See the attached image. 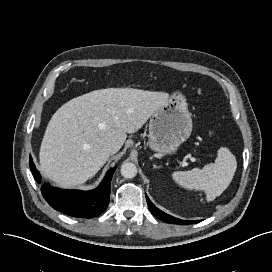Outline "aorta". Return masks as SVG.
<instances>
[{
	"label": "aorta",
	"mask_w": 272,
	"mask_h": 272,
	"mask_svg": "<svg viewBox=\"0 0 272 272\" xmlns=\"http://www.w3.org/2000/svg\"><path fill=\"white\" fill-rule=\"evenodd\" d=\"M121 175L127 179L134 178L137 175V167L134 163L125 162L121 166Z\"/></svg>",
	"instance_id": "aorta-1"
}]
</instances>
